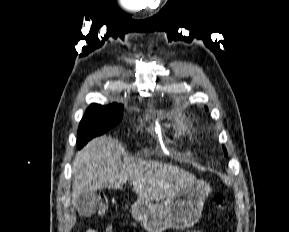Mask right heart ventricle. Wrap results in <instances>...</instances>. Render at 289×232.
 <instances>
[{
    "instance_id": "1",
    "label": "right heart ventricle",
    "mask_w": 289,
    "mask_h": 232,
    "mask_svg": "<svg viewBox=\"0 0 289 232\" xmlns=\"http://www.w3.org/2000/svg\"><path fill=\"white\" fill-rule=\"evenodd\" d=\"M171 134L176 142L182 143L192 137L190 123L184 117H176L171 125Z\"/></svg>"
}]
</instances>
